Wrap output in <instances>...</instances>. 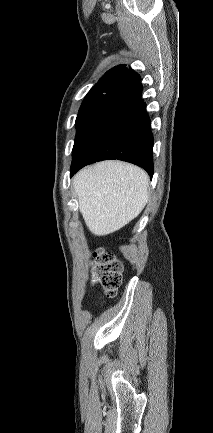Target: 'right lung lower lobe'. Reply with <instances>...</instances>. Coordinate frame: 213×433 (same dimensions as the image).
Returning <instances> with one entry per match:
<instances>
[{
	"instance_id": "obj_1",
	"label": "right lung lower lobe",
	"mask_w": 213,
	"mask_h": 433,
	"mask_svg": "<svg viewBox=\"0 0 213 433\" xmlns=\"http://www.w3.org/2000/svg\"><path fill=\"white\" fill-rule=\"evenodd\" d=\"M139 82L119 93L76 140L70 176L106 159L134 163L153 175V135Z\"/></svg>"
}]
</instances>
